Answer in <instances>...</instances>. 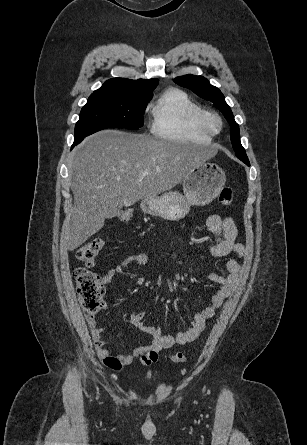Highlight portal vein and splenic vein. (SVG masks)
Instances as JSON below:
<instances>
[{
  "label": "portal vein and splenic vein",
  "instance_id": "obj_1",
  "mask_svg": "<svg viewBox=\"0 0 307 445\" xmlns=\"http://www.w3.org/2000/svg\"><path fill=\"white\" fill-rule=\"evenodd\" d=\"M147 174H150L149 170H143L141 176H147Z\"/></svg>",
  "mask_w": 307,
  "mask_h": 445
}]
</instances>
